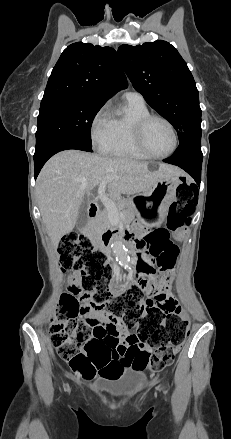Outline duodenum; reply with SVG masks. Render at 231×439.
Returning a JSON list of instances; mask_svg holds the SVG:
<instances>
[{"label":"duodenum","mask_w":231,"mask_h":439,"mask_svg":"<svg viewBox=\"0 0 231 439\" xmlns=\"http://www.w3.org/2000/svg\"><path fill=\"white\" fill-rule=\"evenodd\" d=\"M96 214H97V204L95 202H92L89 205V215L92 221L95 220ZM115 235H116L115 231L105 230L101 235L102 246L107 247Z\"/></svg>","instance_id":"duodenum-1"}]
</instances>
